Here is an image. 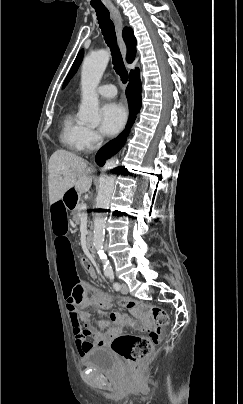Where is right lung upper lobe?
Segmentation results:
<instances>
[{
    "mask_svg": "<svg viewBox=\"0 0 243 404\" xmlns=\"http://www.w3.org/2000/svg\"><path fill=\"white\" fill-rule=\"evenodd\" d=\"M123 39L127 45V61L132 62L135 56V48H136V38L134 37L133 30L131 28H124L123 30ZM139 69L136 68V71L131 70L130 76L137 72Z\"/></svg>",
    "mask_w": 243,
    "mask_h": 404,
    "instance_id": "right-lung-upper-lobe-1",
    "label": "right lung upper lobe"
}]
</instances>
